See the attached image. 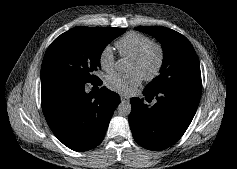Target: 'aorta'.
<instances>
[{"label": "aorta", "mask_w": 237, "mask_h": 169, "mask_svg": "<svg viewBox=\"0 0 237 169\" xmlns=\"http://www.w3.org/2000/svg\"><path fill=\"white\" fill-rule=\"evenodd\" d=\"M115 69L118 72H127L129 70V62L125 58H120L115 63ZM131 110L132 107L128 101H122L117 107V112L121 116H128Z\"/></svg>", "instance_id": "1"}]
</instances>
